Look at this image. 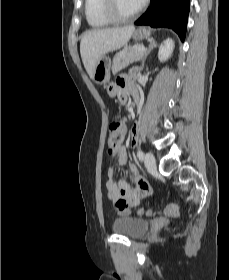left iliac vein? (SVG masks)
Masks as SVG:
<instances>
[{"label": "left iliac vein", "instance_id": "1", "mask_svg": "<svg viewBox=\"0 0 229 280\" xmlns=\"http://www.w3.org/2000/svg\"><path fill=\"white\" fill-rule=\"evenodd\" d=\"M144 164L148 171H154L156 169V161L153 154L149 152L146 153L144 158Z\"/></svg>", "mask_w": 229, "mask_h": 280}]
</instances>
